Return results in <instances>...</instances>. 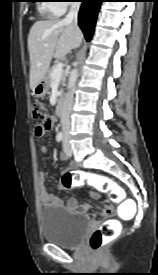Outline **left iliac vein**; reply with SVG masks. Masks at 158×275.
<instances>
[{
  "mask_svg": "<svg viewBox=\"0 0 158 275\" xmlns=\"http://www.w3.org/2000/svg\"><path fill=\"white\" fill-rule=\"evenodd\" d=\"M63 151L65 156L70 157L72 155V148L68 141V139H65L63 142Z\"/></svg>",
  "mask_w": 158,
  "mask_h": 275,
  "instance_id": "1",
  "label": "left iliac vein"
}]
</instances>
